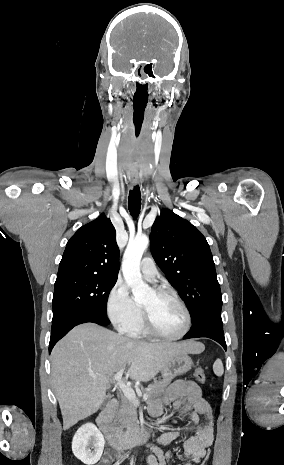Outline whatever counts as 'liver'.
<instances>
[{"mask_svg": "<svg viewBox=\"0 0 284 465\" xmlns=\"http://www.w3.org/2000/svg\"><path fill=\"white\" fill-rule=\"evenodd\" d=\"M203 343H143L84 323L55 345L52 381L63 417V431L90 417L106 399L113 375L128 369L126 379L151 381L178 353H203ZM89 375H97L93 379Z\"/></svg>", "mask_w": 284, "mask_h": 465, "instance_id": "6515ba94", "label": "liver"}]
</instances>
